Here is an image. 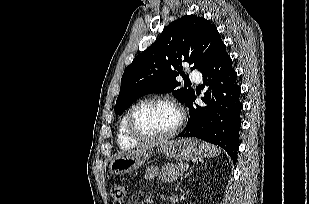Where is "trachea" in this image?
<instances>
[{
  "mask_svg": "<svg viewBox=\"0 0 309 204\" xmlns=\"http://www.w3.org/2000/svg\"><path fill=\"white\" fill-rule=\"evenodd\" d=\"M185 83H190V81H187V82H185Z\"/></svg>",
  "mask_w": 309,
  "mask_h": 204,
  "instance_id": "1",
  "label": "trachea"
}]
</instances>
